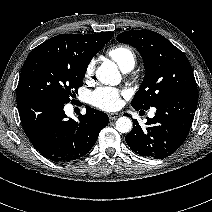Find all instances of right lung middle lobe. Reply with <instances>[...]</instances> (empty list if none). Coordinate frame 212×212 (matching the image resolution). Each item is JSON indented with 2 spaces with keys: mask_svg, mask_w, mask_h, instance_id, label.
Returning <instances> with one entry per match:
<instances>
[{
  "mask_svg": "<svg viewBox=\"0 0 212 212\" xmlns=\"http://www.w3.org/2000/svg\"><path fill=\"white\" fill-rule=\"evenodd\" d=\"M113 35L77 43L70 57L28 55L19 79L17 98L41 96L69 103L83 78L92 57L110 41Z\"/></svg>",
  "mask_w": 212,
  "mask_h": 212,
  "instance_id": "1",
  "label": "right lung middle lobe"
}]
</instances>
